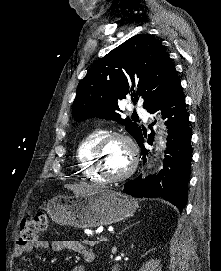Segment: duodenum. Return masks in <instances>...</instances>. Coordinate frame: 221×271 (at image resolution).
Masks as SVG:
<instances>
[{"mask_svg":"<svg viewBox=\"0 0 221 271\" xmlns=\"http://www.w3.org/2000/svg\"><path fill=\"white\" fill-rule=\"evenodd\" d=\"M87 261H92L93 260V256H89L86 258Z\"/></svg>","mask_w":221,"mask_h":271,"instance_id":"410a0bca","label":"duodenum"}]
</instances>
